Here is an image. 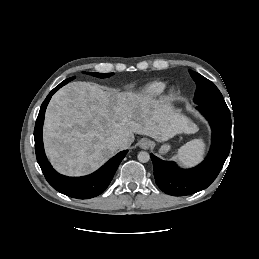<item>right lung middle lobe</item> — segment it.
I'll list each match as a JSON object with an SVG mask.
<instances>
[{"label":"right lung middle lobe","instance_id":"dd1d6c3e","mask_svg":"<svg viewBox=\"0 0 259 259\" xmlns=\"http://www.w3.org/2000/svg\"><path fill=\"white\" fill-rule=\"evenodd\" d=\"M87 74L92 75L94 77H98V78H107V77H110L113 75V73H91V72H87ZM73 79H75V77L66 79L62 83L67 84L68 82L72 81Z\"/></svg>","mask_w":259,"mask_h":259}]
</instances>
